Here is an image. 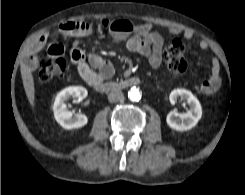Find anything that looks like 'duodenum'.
Wrapping results in <instances>:
<instances>
[{
	"instance_id": "1",
	"label": "duodenum",
	"mask_w": 245,
	"mask_h": 195,
	"mask_svg": "<svg viewBox=\"0 0 245 195\" xmlns=\"http://www.w3.org/2000/svg\"><path fill=\"white\" fill-rule=\"evenodd\" d=\"M140 83L139 78L132 77L118 82H97L93 86L96 90L101 92L117 91L136 86Z\"/></svg>"
}]
</instances>
